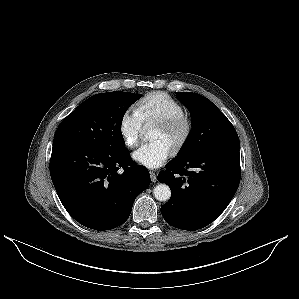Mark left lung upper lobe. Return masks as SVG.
I'll return each instance as SVG.
<instances>
[{"label":"left lung upper lobe","mask_w":299,"mask_h":299,"mask_svg":"<svg viewBox=\"0 0 299 299\" xmlns=\"http://www.w3.org/2000/svg\"><path fill=\"white\" fill-rule=\"evenodd\" d=\"M176 96L189 109L192 119V129L178 159L198 155L210 145L237 134L227 117L207 98L192 92H177Z\"/></svg>","instance_id":"obj_1"}]
</instances>
